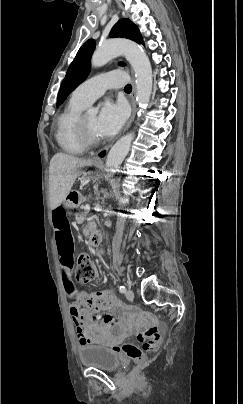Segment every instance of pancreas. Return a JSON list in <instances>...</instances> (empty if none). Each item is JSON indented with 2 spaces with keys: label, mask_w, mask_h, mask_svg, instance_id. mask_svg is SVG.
I'll use <instances>...</instances> for the list:
<instances>
[{
  "label": "pancreas",
  "mask_w": 243,
  "mask_h": 404,
  "mask_svg": "<svg viewBox=\"0 0 243 404\" xmlns=\"http://www.w3.org/2000/svg\"><path fill=\"white\" fill-rule=\"evenodd\" d=\"M74 219L76 220V223L77 224H81L82 223V216H81V214H79V213H75L74 214Z\"/></svg>",
  "instance_id": "cf45deb5"
}]
</instances>
